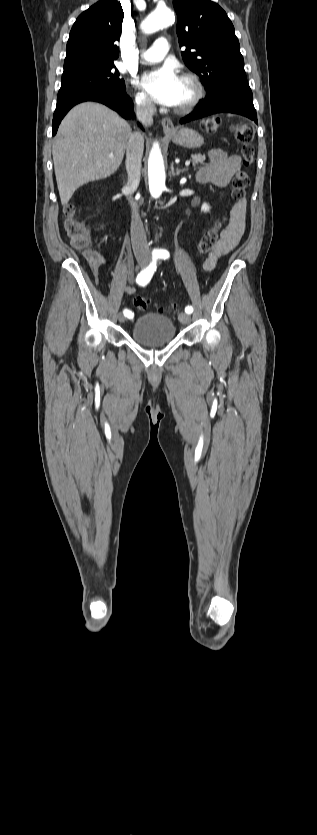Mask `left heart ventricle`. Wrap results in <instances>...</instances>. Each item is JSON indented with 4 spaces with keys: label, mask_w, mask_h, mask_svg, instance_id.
<instances>
[{
    "label": "left heart ventricle",
    "mask_w": 317,
    "mask_h": 835,
    "mask_svg": "<svg viewBox=\"0 0 317 835\" xmlns=\"http://www.w3.org/2000/svg\"><path fill=\"white\" fill-rule=\"evenodd\" d=\"M191 93L190 86L185 81L181 80L180 92L176 106L184 104L190 98Z\"/></svg>",
    "instance_id": "obj_1"
}]
</instances>
